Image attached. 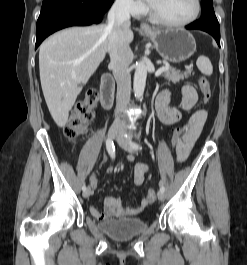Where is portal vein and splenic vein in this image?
Masks as SVG:
<instances>
[{"label":"portal vein and splenic vein","instance_id":"1","mask_svg":"<svg viewBox=\"0 0 247 265\" xmlns=\"http://www.w3.org/2000/svg\"><path fill=\"white\" fill-rule=\"evenodd\" d=\"M168 67H160L156 73H155V76H159L161 73H163L165 70H167Z\"/></svg>","mask_w":247,"mask_h":265}]
</instances>
